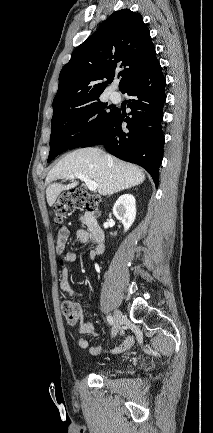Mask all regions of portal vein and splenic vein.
Returning <instances> with one entry per match:
<instances>
[{
  "label": "portal vein and splenic vein",
  "mask_w": 213,
  "mask_h": 433,
  "mask_svg": "<svg viewBox=\"0 0 213 433\" xmlns=\"http://www.w3.org/2000/svg\"><path fill=\"white\" fill-rule=\"evenodd\" d=\"M74 177H76V178L80 179L81 181L85 182L86 185H87V187H88V189L90 191H92V192L96 191V189H97L96 182L92 181L91 179H89L88 177H86L85 175L80 174V173L69 175V178H74Z\"/></svg>",
  "instance_id": "1"
}]
</instances>
